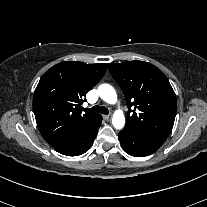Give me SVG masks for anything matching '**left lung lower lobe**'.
<instances>
[{
	"label": "left lung lower lobe",
	"instance_id": "obj_1",
	"mask_svg": "<svg viewBox=\"0 0 207 207\" xmlns=\"http://www.w3.org/2000/svg\"><path fill=\"white\" fill-rule=\"evenodd\" d=\"M118 136L124 151L135 157L152 154L165 141L163 138L139 133L129 128H124Z\"/></svg>",
	"mask_w": 207,
	"mask_h": 207
}]
</instances>
